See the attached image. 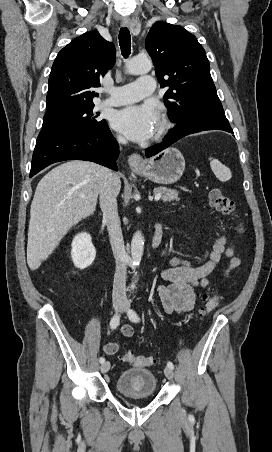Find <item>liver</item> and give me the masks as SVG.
Returning a JSON list of instances; mask_svg holds the SVG:
<instances>
[{
  "instance_id": "6515ba94",
  "label": "liver",
  "mask_w": 272,
  "mask_h": 452,
  "mask_svg": "<svg viewBox=\"0 0 272 452\" xmlns=\"http://www.w3.org/2000/svg\"><path fill=\"white\" fill-rule=\"evenodd\" d=\"M110 171L94 162L73 160L48 172L38 183L30 209L27 263L36 270L66 233L92 215ZM120 191L121 182L117 184Z\"/></svg>"
}]
</instances>
